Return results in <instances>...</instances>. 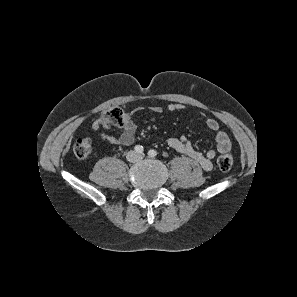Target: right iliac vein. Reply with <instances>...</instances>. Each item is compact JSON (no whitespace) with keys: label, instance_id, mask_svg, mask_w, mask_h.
I'll return each mask as SVG.
<instances>
[{"label":"right iliac vein","instance_id":"obj_1","mask_svg":"<svg viewBox=\"0 0 297 297\" xmlns=\"http://www.w3.org/2000/svg\"><path fill=\"white\" fill-rule=\"evenodd\" d=\"M128 159L129 160H135L136 159V154L134 152H130L128 153Z\"/></svg>","mask_w":297,"mask_h":297}]
</instances>
